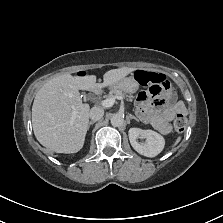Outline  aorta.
Here are the masks:
<instances>
[{"instance_id":"obj_1","label":"aorta","mask_w":223,"mask_h":223,"mask_svg":"<svg viewBox=\"0 0 223 223\" xmlns=\"http://www.w3.org/2000/svg\"><path fill=\"white\" fill-rule=\"evenodd\" d=\"M110 120H111L112 126L114 127H120L124 123V119L121 114H114Z\"/></svg>"}]
</instances>
